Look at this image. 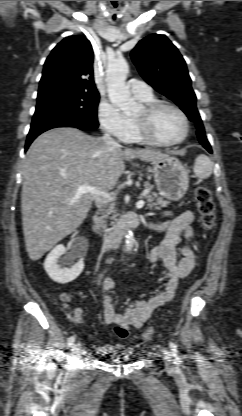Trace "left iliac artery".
I'll return each instance as SVG.
<instances>
[{"label": "left iliac artery", "instance_id": "obj_1", "mask_svg": "<svg viewBox=\"0 0 242 416\" xmlns=\"http://www.w3.org/2000/svg\"><path fill=\"white\" fill-rule=\"evenodd\" d=\"M169 347H170L172 355L175 358V363H180L181 361H180V358L178 356V350H177L176 345L174 343L170 342Z\"/></svg>", "mask_w": 242, "mask_h": 416}]
</instances>
